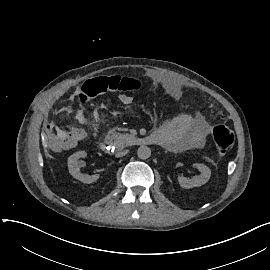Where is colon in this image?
I'll return each mask as SVG.
<instances>
[{
    "label": "colon",
    "mask_w": 270,
    "mask_h": 270,
    "mask_svg": "<svg viewBox=\"0 0 270 270\" xmlns=\"http://www.w3.org/2000/svg\"><path fill=\"white\" fill-rule=\"evenodd\" d=\"M141 88L142 83L131 77H120L119 75L102 77L96 81H88L82 86L79 93V102L87 105L91 99L109 90L137 92ZM77 130L78 132H84V129L80 126H77ZM211 135L217 152L221 155L227 154L234 142L233 131L225 125L218 124L213 127Z\"/></svg>",
    "instance_id": "5ec220e1"
}]
</instances>
